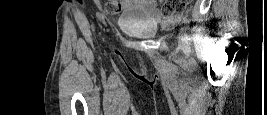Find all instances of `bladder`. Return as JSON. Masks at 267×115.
Wrapping results in <instances>:
<instances>
[{"instance_id":"obj_1","label":"bladder","mask_w":267,"mask_h":115,"mask_svg":"<svg viewBox=\"0 0 267 115\" xmlns=\"http://www.w3.org/2000/svg\"><path fill=\"white\" fill-rule=\"evenodd\" d=\"M122 30L134 37L149 38L156 34V27L153 25H122Z\"/></svg>"}]
</instances>
